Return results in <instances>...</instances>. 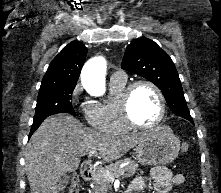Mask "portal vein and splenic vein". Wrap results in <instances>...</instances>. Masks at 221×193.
<instances>
[{
    "label": "portal vein and splenic vein",
    "mask_w": 221,
    "mask_h": 193,
    "mask_svg": "<svg viewBox=\"0 0 221 193\" xmlns=\"http://www.w3.org/2000/svg\"><path fill=\"white\" fill-rule=\"evenodd\" d=\"M96 152H97V149H96V148H92V149L89 151V157L92 156V155H94ZM124 173H125L124 170H120V171L118 172V176H122V175H124ZM104 176H105L106 178H108L110 181H114V180H115V176H114L112 173L108 172V171L104 172Z\"/></svg>",
    "instance_id": "obj_1"
}]
</instances>
